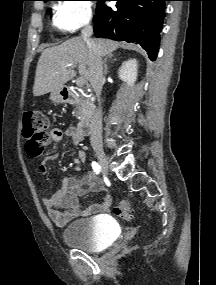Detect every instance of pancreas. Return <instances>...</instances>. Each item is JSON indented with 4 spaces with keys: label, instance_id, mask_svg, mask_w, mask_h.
Returning <instances> with one entry per match:
<instances>
[{
    "label": "pancreas",
    "instance_id": "1",
    "mask_svg": "<svg viewBox=\"0 0 216 285\" xmlns=\"http://www.w3.org/2000/svg\"><path fill=\"white\" fill-rule=\"evenodd\" d=\"M90 110L89 99L83 97L82 95L76 100V108L74 110L76 117H84L86 113Z\"/></svg>",
    "mask_w": 216,
    "mask_h": 285
}]
</instances>
